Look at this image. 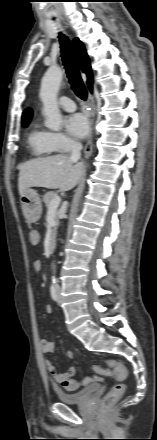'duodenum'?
Masks as SVG:
<instances>
[{"label": "duodenum", "mask_w": 157, "mask_h": 440, "mask_svg": "<svg viewBox=\"0 0 157 440\" xmlns=\"http://www.w3.org/2000/svg\"><path fill=\"white\" fill-rule=\"evenodd\" d=\"M55 246H56V238L55 237H51L49 239L48 246H47L48 252L50 254H52L54 252Z\"/></svg>", "instance_id": "duodenum-1"}]
</instances>
